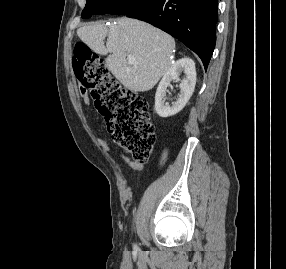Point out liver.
Instances as JSON below:
<instances>
[{
    "instance_id": "liver-1",
    "label": "liver",
    "mask_w": 286,
    "mask_h": 269,
    "mask_svg": "<svg viewBox=\"0 0 286 269\" xmlns=\"http://www.w3.org/2000/svg\"><path fill=\"white\" fill-rule=\"evenodd\" d=\"M77 35L95 52L110 53L105 59L106 67L133 92L152 89L172 66L174 39L137 19L123 17L110 27L96 22L79 28ZM128 55L134 56L136 63H129Z\"/></svg>"
}]
</instances>
